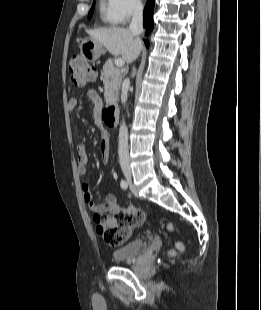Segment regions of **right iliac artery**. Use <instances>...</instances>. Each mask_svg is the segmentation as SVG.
Listing matches in <instances>:
<instances>
[{
  "label": "right iliac artery",
  "mask_w": 261,
  "mask_h": 310,
  "mask_svg": "<svg viewBox=\"0 0 261 310\" xmlns=\"http://www.w3.org/2000/svg\"><path fill=\"white\" fill-rule=\"evenodd\" d=\"M120 185H121V188L124 190H126L128 188V182L124 179L121 180Z\"/></svg>",
  "instance_id": "right-iliac-artery-1"
}]
</instances>
